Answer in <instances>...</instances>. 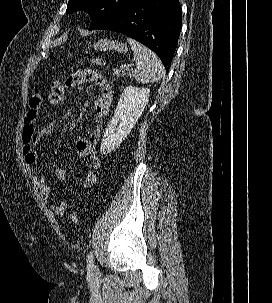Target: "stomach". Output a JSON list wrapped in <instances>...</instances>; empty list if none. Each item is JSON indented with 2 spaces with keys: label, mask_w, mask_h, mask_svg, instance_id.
I'll return each mask as SVG.
<instances>
[{
  "label": "stomach",
  "mask_w": 272,
  "mask_h": 303,
  "mask_svg": "<svg viewBox=\"0 0 272 303\" xmlns=\"http://www.w3.org/2000/svg\"><path fill=\"white\" fill-rule=\"evenodd\" d=\"M93 48L97 51H110L115 50L119 53H126L128 48L125 44L111 41L109 39H101L94 43Z\"/></svg>",
  "instance_id": "0dacf381"
}]
</instances>
